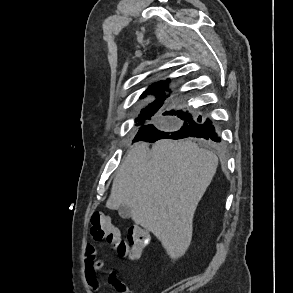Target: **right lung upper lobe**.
<instances>
[{
  "mask_svg": "<svg viewBox=\"0 0 293 293\" xmlns=\"http://www.w3.org/2000/svg\"><path fill=\"white\" fill-rule=\"evenodd\" d=\"M167 90V81L163 82L160 81L156 84H153L152 86H150L143 94L142 97L145 96V94L151 93V94H156L157 96V101H155L154 103H151L147 108L149 110H158L162 104H163V92Z\"/></svg>",
  "mask_w": 293,
  "mask_h": 293,
  "instance_id": "cb5924a9",
  "label": "right lung upper lobe"
}]
</instances>
